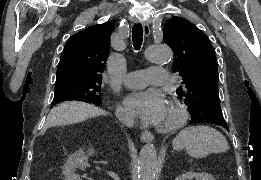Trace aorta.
<instances>
[{
	"label": "aorta",
	"instance_id": "1",
	"mask_svg": "<svg viewBox=\"0 0 261 180\" xmlns=\"http://www.w3.org/2000/svg\"><path fill=\"white\" fill-rule=\"evenodd\" d=\"M145 57L153 63L164 64L171 61L173 53L166 45H153L146 49ZM156 167V149L153 145L146 144L141 148L138 157V179L155 180Z\"/></svg>",
	"mask_w": 261,
	"mask_h": 180
}]
</instances>
